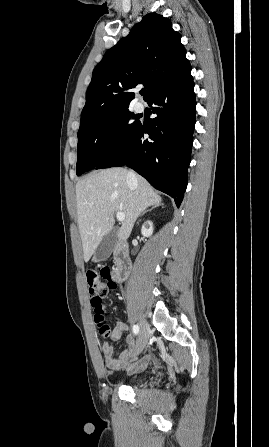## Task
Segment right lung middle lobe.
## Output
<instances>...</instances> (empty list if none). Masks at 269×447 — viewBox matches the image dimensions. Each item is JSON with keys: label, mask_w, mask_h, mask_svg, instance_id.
Masks as SVG:
<instances>
[{"label": "right lung middle lobe", "mask_w": 269, "mask_h": 447, "mask_svg": "<svg viewBox=\"0 0 269 447\" xmlns=\"http://www.w3.org/2000/svg\"><path fill=\"white\" fill-rule=\"evenodd\" d=\"M132 112L119 109L107 112L94 119L78 131L76 174L97 167L112 153L119 149L130 135L139 127ZM112 135H117L112 140Z\"/></svg>", "instance_id": "obj_1"}]
</instances>
